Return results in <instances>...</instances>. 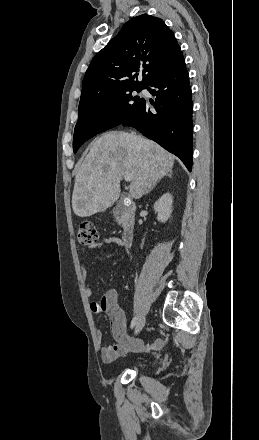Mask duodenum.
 Here are the masks:
<instances>
[{"label": "duodenum", "instance_id": "duodenum-1", "mask_svg": "<svg viewBox=\"0 0 259 440\" xmlns=\"http://www.w3.org/2000/svg\"><path fill=\"white\" fill-rule=\"evenodd\" d=\"M135 211H136V206L134 203H130L122 211V218L124 221L122 239L127 246H130L134 239Z\"/></svg>", "mask_w": 259, "mask_h": 440}]
</instances>
